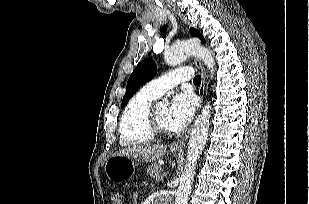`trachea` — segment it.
Instances as JSON below:
<instances>
[{"instance_id":"1","label":"trachea","mask_w":309,"mask_h":204,"mask_svg":"<svg viewBox=\"0 0 309 204\" xmlns=\"http://www.w3.org/2000/svg\"><path fill=\"white\" fill-rule=\"evenodd\" d=\"M194 84H201V76L196 75L193 79Z\"/></svg>"}]
</instances>
